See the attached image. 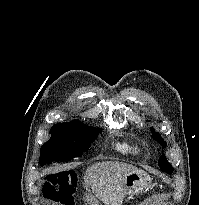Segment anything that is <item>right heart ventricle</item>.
Masks as SVG:
<instances>
[{"label": "right heart ventricle", "mask_w": 199, "mask_h": 205, "mask_svg": "<svg viewBox=\"0 0 199 205\" xmlns=\"http://www.w3.org/2000/svg\"><path fill=\"white\" fill-rule=\"evenodd\" d=\"M117 149L122 153H132V154H138L139 148L136 145H130L128 143L119 144L117 146Z\"/></svg>", "instance_id": "1"}]
</instances>
